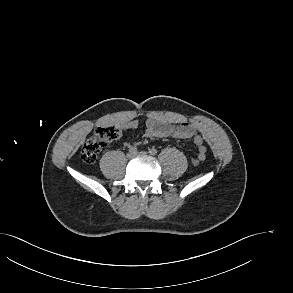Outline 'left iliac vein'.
<instances>
[{
  "label": "left iliac vein",
  "instance_id": "obj_1",
  "mask_svg": "<svg viewBox=\"0 0 293 293\" xmlns=\"http://www.w3.org/2000/svg\"><path fill=\"white\" fill-rule=\"evenodd\" d=\"M136 155H138V156H145V155H147V153L144 152V151H141V152H138Z\"/></svg>",
  "mask_w": 293,
  "mask_h": 293
}]
</instances>
